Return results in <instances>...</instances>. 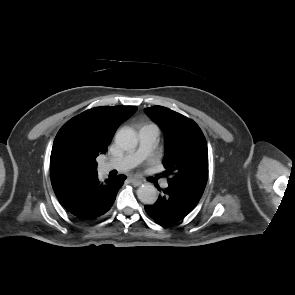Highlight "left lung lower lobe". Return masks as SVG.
Listing matches in <instances>:
<instances>
[{
  "label": "left lung lower lobe",
  "mask_w": 295,
  "mask_h": 295,
  "mask_svg": "<svg viewBox=\"0 0 295 295\" xmlns=\"http://www.w3.org/2000/svg\"><path fill=\"white\" fill-rule=\"evenodd\" d=\"M203 192L200 188H182L168 183L158 200L153 205L145 206V211L161 224H173L182 220L196 207Z\"/></svg>",
  "instance_id": "0a47b994"
}]
</instances>
